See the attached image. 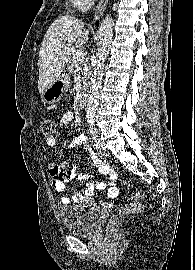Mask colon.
<instances>
[{
    "label": "colon",
    "mask_w": 195,
    "mask_h": 270,
    "mask_svg": "<svg viewBox=\"0 0 195 270\" xmlns=\"http://www.w3.org/2000/svg\"><path fill=\"white\" fill-rule=\"evenodd\" d=\"M40 129L44 136L51 137L53 136L55 132V123L50 118H43L40 121ZM142 198H143V193L141 191H136L132 200L139 201ZM142 209H143V205L141 203H133L128 206H125L122 209L121 214L123 215L130 214V213L141 211Z\"/></svg>",
    "instance_id": "obj_1"
}]
</instances>
